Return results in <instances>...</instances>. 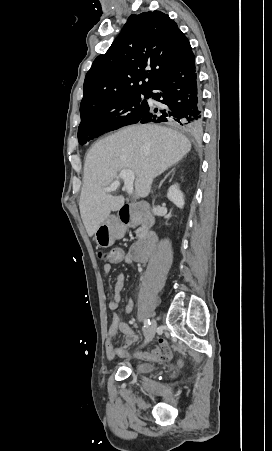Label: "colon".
Wrapping results in <instances>:
<instances>
[{"label": "colon", "instance_id": "5ec220e1", "mask_svg": "<svg viewBox=\"0 0 272 451\" xmlns=\"http://www.w3.org/2000/svg\"><path fill=\"white\" fill-rule=\"evenodd\" d=\"M123 251L121 249H100L98 251V256L100 258H112L115 261H118L122 258ZM116 264V263H115ZM164 360L166 361L167 358L165 357Z\"/></svg>", "mask_w": 272, "mask_h": 451}]
</instances>
